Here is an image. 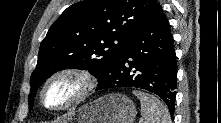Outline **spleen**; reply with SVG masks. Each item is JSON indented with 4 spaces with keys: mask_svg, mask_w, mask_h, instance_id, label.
Here are the masks:
<instances>
[{
    "mask_svg": "<svg viewBox=\"0 0 221 123\" xmlns=\"http://www.w3.org/2000/svg\"><path fill=\"white\" fill-rule=\"evenodd\" d=\"M140 100L143 123H172L168 108L156 97L134 90Z\"/></svg>",
    "mask_w": 221,
    "mask_h": 123,
    "instance_id": "3e777b00",
    "label": "spleen"
}]
</instances>
